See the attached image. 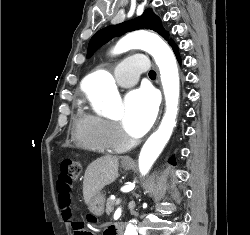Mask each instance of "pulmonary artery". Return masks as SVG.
<instances>
[{"label":"pulmonary artery","instance_id":"e3ab8cb5","mask_svg":"<svg viewBox=\"0 0 250 235\" xmlns=\"http://www.w3.org/2000/svg\"><path fill=\"white\" fill-rule=\"evenodd\" d=\"M149 64L143 54H133L121 62L116 70V81L119 86L127 88L133 86L141 72H146Z\"/></svg>","mask_w":250,"mask_h":235}]
</instances>
